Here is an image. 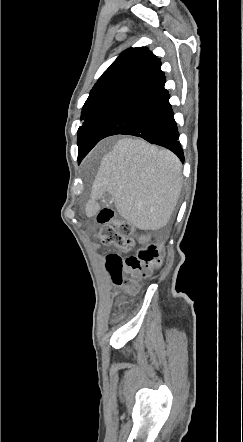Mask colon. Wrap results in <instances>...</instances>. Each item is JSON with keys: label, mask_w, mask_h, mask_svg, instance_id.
<instances>
[{"label": "colon", "mask_w": 243, "mask_h": 442, "mask_svg": "<svg viewBox=\"0 0 243 442\" xmlns=\"http://www.w3.org/2000/svg\"><path fill=\"white\" fill-rule=\"evenodd\" d=\"M100 228L96 237L104 245L114 246L121 252H129L135 245V232L132 225L125 220H116L113 210L103 209L97 216ZM140 248L136 255L122 260L117 255L106 258L107 270L113 284L121 286L125 294L136 293L139 280L149 276L151 269L160 263L165 250L160 245L149 241L145 236L139 237Z\"/></svg>", "instance_id": "1"}]
</instances>
